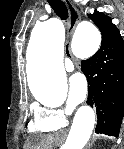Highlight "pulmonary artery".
I'll return each instance as SVG.
<instances>
[{
  "label": "pulmonary artery",
  "mask_w": 124,
  "mask_h": 149,
  "mask_svg": "<svg viewBox=\"0 0 124 149\" xmlns=\"http://www.w3.org/2000/svg\"><path fill=\"white\" fill-rule=\"evenodd\" d=\"M65 69L67 71H73L74 65H73V63H72V61L70 59H66L65 60Z\"/></svg>",
  "instance_id": "pulmonary-artery-1"
}]
</instances>
